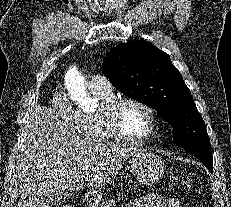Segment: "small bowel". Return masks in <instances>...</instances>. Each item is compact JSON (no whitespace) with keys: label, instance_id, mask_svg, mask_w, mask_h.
<instances>
[{"label":"small bowel","instance_id":"1","mask_svg":"<svg viewBox=\"0 0 231 207\" xmlns=\"http://www.w3.org/2000/svg\"><path fill=\"white\" fill-rule=\"evenodd\" d=\"M126 207H182L177 199L148 195L135 199Z\"/></svg>","mask_w":231,"mask_h":207}]
</instances>
